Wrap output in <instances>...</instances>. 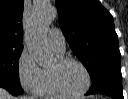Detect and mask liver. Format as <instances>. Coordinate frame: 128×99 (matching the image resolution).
I'll use <instances>...</instances> for the list:
<instances>
[{
	"label": "liver",
	"mask_w": 128,
	"mask_h": 99,
	"mask_svg": "<svg viewBox=\"0 0 128 99\" xmlns=\"http://www.w3.org/2000/svg\"><path fill=\"white\" fill-rule=\"evenodd\" d=\"M0 99H14L6 90L0 88ZM21 99H29L27 97H23Z\"/></svg>",
	"instance_id": "1"
}]
</instances>
